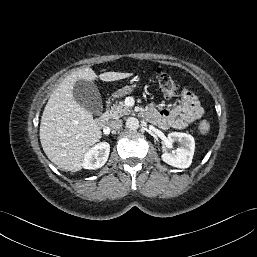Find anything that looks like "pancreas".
I'll list each match as a JSON object with an SVG mask.
<instances>
[{
  "instance_id": "obj_1",
  "label": "pancreas",
  "mask_w": 257,
  "mask_h": 257,
  "mask_svg": "<svg viewBox=\"0 0 257 257\" xmlns=\"http://www.w3.org/2000/svg\"><path fill=\"white\" fill-rule=\"evenodd\" d=\"M132 110L124 105L122 101H120L118 104L113 105L109 112V118L111 119H118L124 115L132 114Z\"/></svg>"
}]
</instances>
